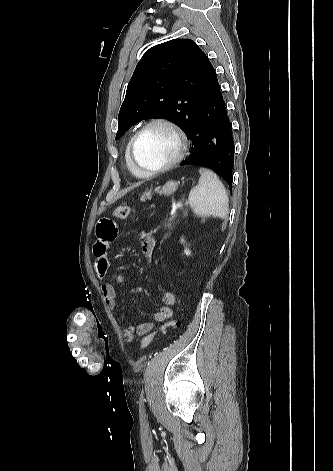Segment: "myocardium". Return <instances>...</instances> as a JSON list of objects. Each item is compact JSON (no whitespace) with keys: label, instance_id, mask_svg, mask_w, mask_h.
I'll use <instances>...</instances> for the list:
<instances>
[{"label":"myocardium","instance_id":"myocardium-1","mask_svg":"<svg viewBox=\"0 0 333 471\" xmlns=\"http://www.w3.org/2000/svg\"><path fill=\"white\" fill-rule=\"evenodd\" d=\"M155 125L164 126L174 133L178 142V150H177L176 155L164 165L156 167V168H144L138 163L136 159V156H135L136 146L140 137L144 134V132H146L149 128ZM187 149H188V139L185 132L181 129V127H179L175 122L167 118L158 117V118H153L149 120L148 122H146L133 135L129 144V159L133 167L137 171H139L142 175L151 176V175L165 172L173 168L177 164H179L184 158V156L186 155Z\"/></svg>","mask_w":333,"mask_h":471}]
</instances>
